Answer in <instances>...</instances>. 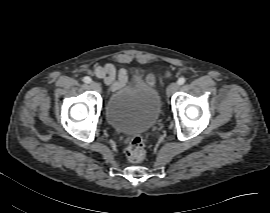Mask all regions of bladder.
Segmentation results:
<instances>
[{"mask_svg": "<svg viewBox=\"0 0 270 213\" xmlns=\"http://www.w3.org/2000/svg\"><path fill=\"white\" fill-rule=\"evenodd\" d=\"M161 99L156 89L122 87L115 90L105 104L107 122L127 134L151 130L161 114Z\"/></svg>", "mask_w": 270, "mask_h": 213, "instance_id": "bladder-1", "label": "bladder"}]
</instances>
